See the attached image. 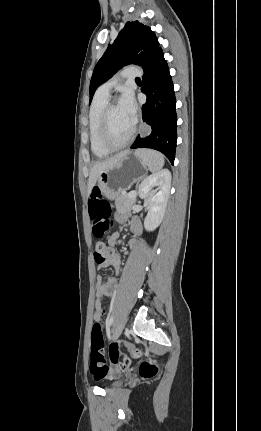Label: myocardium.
Returning a JSON list of instances; mask_svg holds the SVG:
<instances>
[{"label":"myocardium","instance_id":"1","mask_svg":"<svg viewBox=\"0 0 261 431\" xmlns=\"http://www.w3.org/2000/svg\"><path fill=\"white\" fill-rule=\"evenodd\" d=\"M115 105V101L108 102L107 105L104 107L100 118V141L101 144L109 151H117L126 147L132 141L136 133V124L134 123L129 135L124 141L116 143L111 139L109 130V114Z\"/></svg>","mask_w":261,"mask_h":431}]
</instances>
